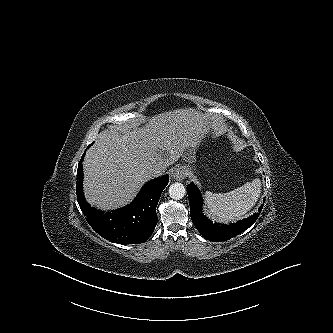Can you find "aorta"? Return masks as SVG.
Masks as SVG:
<instances>
[{
  "instance_id": "aorta-1",
  "label": "aorta",
  "mask_w": 333,
  "mask_h": 333,
  "mask_svg": "<svg viewBox=\"0 0 333 333\" xmlns=\"http://www.w3.org/2000/svg\"><path fill=\"white\" fill-rule=\"evenodd\" d=\"M186 194V189L183 184L175 182L169 187V195L172 199H182Z\"/></svg>"
}]
</instances>
